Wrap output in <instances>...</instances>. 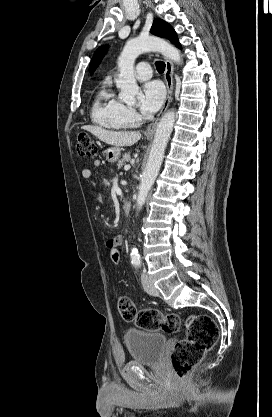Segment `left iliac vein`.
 I'll use <instances>...</instances> for the list:
<instances>
[{
	"instance_id": "4c4485c4",
	"label": "left iliac vein",
	"mask_w": 272,
	"mask_h": 417,
	"mask_svg": "<svg viewBox=\"0 0 272 417\" xmlns=\"http://www.w3.org/2000/svg\"><path fill=\"white\" fill-rule=\"evenodd\" d=\"M141 281H142V285H143L144 290L148 294H150L152 296H158L159 295V291L154 287L153 283L150 281V278L146 274L145 271H143V273H142Z\"/></svg>"
}]
</instances>
